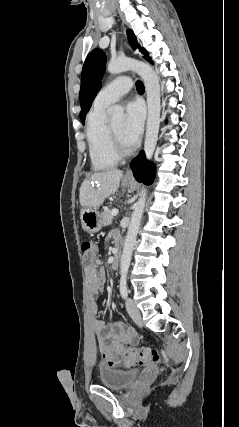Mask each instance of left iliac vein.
<instances>
[{"mask_svg": "<svg viewBox=\"0 0 239 427\" xmlns=\"http://www.w3.org/2000/svg\"><path fill=\"white\" fill-rule=\"evenodd\" d=\"M126 309H127L128 314L132 318V320L136 324L141 326L143 324V322H142L140 310L136 307L135 303L130 298L126 299Z\"/></svg>", "mask_w": 239, "mask_h": 427, "instance_id": "left-iliac-vein-1", "label": "left iliac vein"}]
</instances>
